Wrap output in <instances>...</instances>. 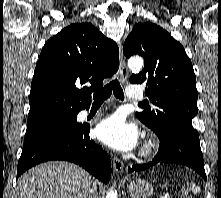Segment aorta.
<instances>
[{"label": "aorta", "instance_id": "aorta-1", "mask_svg": "<svg viewBox=\"0 0 221 198\" xmlns=\"http://www.w3.org/2000/svg\"><path fill=\"white\" fill-rule=\"evenodd\" d=\"M128 66L134 71H139L143 66V60L140 57H132L128 61ZM106 198H117V192L110 190L107 193Z\"/></svg>", "mask_w": 221, "mask_h": 198}]
</instances>
